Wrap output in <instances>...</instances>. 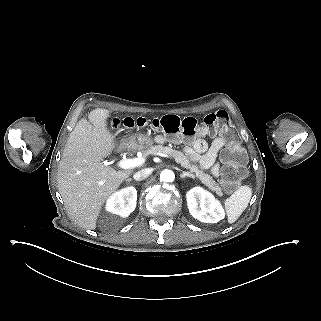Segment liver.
Listing matches in <instances>:
<instances>
[{
    "label": "liver",
    "mask_w": 321,
    "mask_h": 321,
    "mask_svg": "<svg viewBox=\"0 0 321 321\" xmlns=\"http://www.w3.org/2000/svg\"><path fill=\"white\" fill-rule=\"evenodd\" d=\"M113 109L96 108L88 120L80 119L65 145L58 168V190L71 219L80 227L95 230L106 201L133 173L116 171L103 164L119 145L108 127Z\"/></svg>",
    "instance_id": "liver-1"
}]
</instances>
